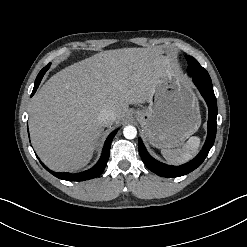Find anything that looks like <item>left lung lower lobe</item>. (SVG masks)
I'll list each match as a JSON object with an SVG mask.
<instances>
[{
	"label": "left lung lower lobe",
	"mask_w": 247,
	"mask_h": 247,
	"mask_svg": "<svg viewBox=\"0 0 247 247\" xmlns=\"http://www.w3.org/2000/svg\"><path fill=\"white\" fill-rule=\"evenodd\" d=\"M188 73L193 78L194 84L196 85L208 105V135L203 149L199 152V154L193 160L181 166H170L155 160L148 154L142 140L139 138L138 150L144 164L150 171L162 177H180L189 174L190 172L198 168L207 157L215 141L217 127V101L213 91L211 79L200 78L196 74H194L192 70H188Z\"/></svg>",
	"instance_id": "1"
}]
</instances>
